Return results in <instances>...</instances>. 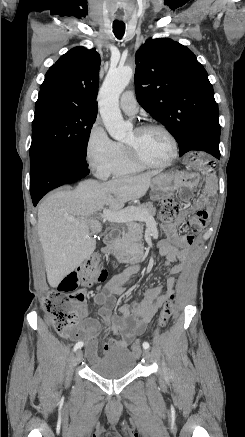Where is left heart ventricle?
Masks as SVG:
<instances>
[{
	"mask_svg": "<svg viewBox=\"0 0 245 437\" xmlns=\"http://www.w3.org/2000/svg\"><path fill=\"white\" fill-rule=\"evenodd\" d=\"M124 143L132 146L142 159L152 163L165 162L172 153L170 140L163 132L155 129L141 133L132 130Z\"/></svg>",
	"mask_w": 245,
	"mask_h": 437,
	"instance_id": "obj_1",
	"label": "left heart ventricle"
}]
</instances>
